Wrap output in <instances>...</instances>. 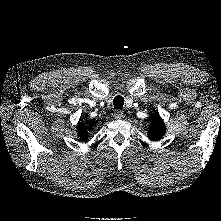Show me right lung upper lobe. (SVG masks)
I'll return each mask as SVG.
<instances>
[{
  "mask_svg": "<svg viewBox=\"0 0 221 221\" xmlns=\"http://www.w3.org/2000/svg\"><path fill=\"white\" fill-rule=\"evenodd\" d=\"M93 124H90L89 126L85 125L84 123H80L78 126V135L81 137L82 140L88 139V130L89 128H92Z\"/></svg>",
  "mask_w": 221,
  "mask_h": 221,
  "instance_id": "cb5924a9",
  "label": "right lung upper lobe"
}]
</instances>
